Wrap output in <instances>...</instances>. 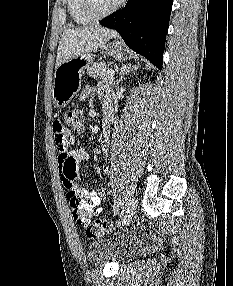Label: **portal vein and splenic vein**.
<instances>
[{"instance_id": "18ae733b", "label": "portal vein and splenic vein", "mask_w": 233, "mask_h": 286, "mask_svg": "<svg viewBox=\"0 0 233 286\" xmlns=\"http://www.w3.org/2000/svg\"><path fill=\"white\" fill-rule=\"evenodd\" d=\"M107 74L113 76L115 74V71L112 69L107 70Z\"/></svg>"}]
</instances>
